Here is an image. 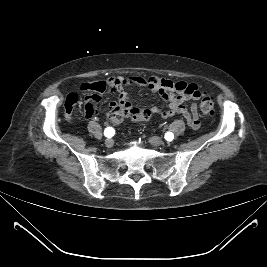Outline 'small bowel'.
<instances>
[{"label":"small bowel","instance_id":"obj_1","mask_svg":"<svg viewBox=\"0 0 267 267\" xmlns=\"http://www.w3.org/2000/svg\"><path fill=\"white\" fill-rule=\"evenodd\" d=\"M141 86L152 91L158 92L163 100L167 103L166 109L152 107L151 112L162 118H168L175 114H181L185 117L188 125L192 129H198L200 126L197 105L195 103L190 106L186 102L190 100H198L205 93L195 83H187L184 81H173L170 79L150 76H117L110 77L105 81L87 82L81 86L82 91L87 93L85 98V117L93 119L97 115V104L101 100L102 94L111 89L118 94V101L109 103L112 109H130L133 104L125 91V87ZM79 101L78 94L70 93L65 100V115L67 119L71 118L74 107Z\"/></svg>","mask_w":267,"mask_h":267}]
</instances>
